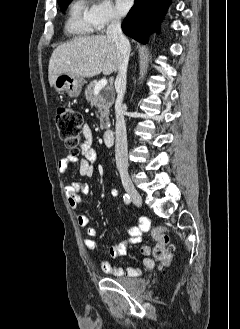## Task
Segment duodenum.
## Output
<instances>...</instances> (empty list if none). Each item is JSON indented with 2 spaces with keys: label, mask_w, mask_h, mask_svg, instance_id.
Returning a JSON list of instances; mask_svg holds the SVG:
<instances>
[{
  "label": "duodenum",
  "mask_w": 240,
  "mask_h": 329,
  "mask_svg": "<svg viewBox=\"0 0 240 329\" xmlns=\"http://www.w3.org/2000/svg\"><path fill=\"white\" fill-rule=\"evenodd\" d=\"M103 140L106 145L111 146L114 143V131L113 129H107L103 133Z\"/></svg>",
  "instance_id": "duodenum-1"
}]
</instances>
